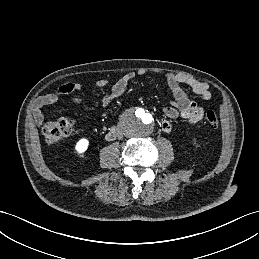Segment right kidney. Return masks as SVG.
<instances>
[{
	"label": "right kidney",
	"instance_id": "1",
	"mask_svg": "<svg viewBox=\"0 0 259 259\" xmlns=\"http://www.w3.org/2000/svg\"><path fill=\"white\" fill-rule=\"evenodd\" d=\"M88 145H89V141L86 138H82L77 142L75 146V150L78 153H84L87 150Z\"/></svg>",
	"mask_w": 259,
	"mask_h": 259
}]
</instances>
